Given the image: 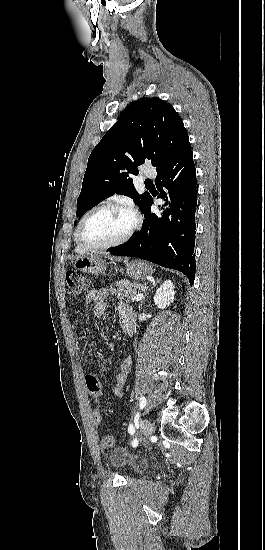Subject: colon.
<instances>
[{"label": "colon", "instance_id": "1", "mask_svg": "<svg viewBox=\"0 0 265 550\" xmlns=\"http://www.w3.org/2000/svg\"><path fill=\"white\" fill-rule=\"evenodd\" d=\"M65 281L67 285V293L71 297H78L82 295L88 288L87 279L79 272L69 270L65 274ZM86 386L90 395L95 399H99L101 396V387L99 380L92 375L86 377ZM93 419L99 421L101 419V413L98 409L93 411ZM114 445V438L111 435H105L102 439V446L104 448H110Z\"/></svg>", "mask_w": 265, "mask_h": 550}]
</instances>
